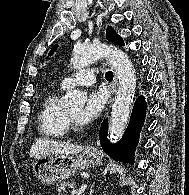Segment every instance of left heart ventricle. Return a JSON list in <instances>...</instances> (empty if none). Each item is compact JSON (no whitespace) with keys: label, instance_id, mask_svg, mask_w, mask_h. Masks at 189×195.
<instances>
[{"label":"left heart ventricle","instance_id":"left-heart-ventricle-1","mask_svg":"<svg viewBox=\"0 0 189 195\" xmlns=\"http://www.w3.org/2000/svg\"><path fill=\"white\" fill-rule=\"evenodd\" d=\"M81 107H75V108H72V109H69L68 112L74 117V119L77 121V117L78 115L80 114L81 112Z\"/></svg>","mask_w":189,"mask_h":195}]
</instances>
